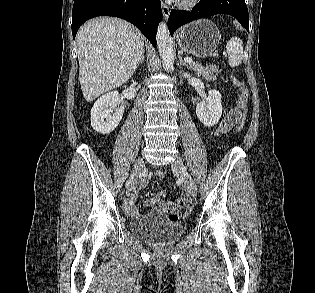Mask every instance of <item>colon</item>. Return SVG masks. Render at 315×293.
<instances>
[{
	"mask_svg": "<svg viewBox=\"0 0 315 293\" xmlns=\"http://www.w3.org/2000/svg\"><path fill=\"white\" fill-rule=\"evenodd\" d=\"M231 80L233 84L238 88L239 90V98H238V104H237V109L240 114V118H237L236 123H237V132H240L243 127H245L248 123L247 118L249 117V107L247 105L248 101V89L247 87L240 82L237 78L234 76H231ZM176 204L179 208H184L187 206V199L184 197H179L176 199Z\"/></svg>",
	"mask_w": 315,
	"mask_h": 293,
	"instance_id": "5ec220e1",
	"label": "colon"
}]
</instances>
